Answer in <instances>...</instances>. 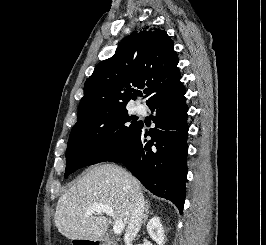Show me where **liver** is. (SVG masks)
<instances>
[{"instance_id":"liver-1","label":"liver","mask_w":266,"mask_h":245,"mask_svg":"<svg viewBox=\"0 0 266 245\" xmlns=\"http://www.w3.org/2000/svg\"><path fill=\"white\" fill-rule=\"evenodd\" d=\"M131 191H141V185L126 169L96 165L60 197L54 215L55 227L72 241H97L108 231L109 223L99 213H87L94 203L112 207L113 221H122L127 227Z\"/></svg>"}]
</instances>
